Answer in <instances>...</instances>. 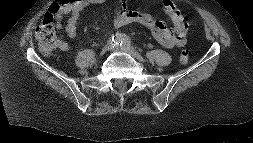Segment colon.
<instances>
[{"label": "colon", "mask_w": 253, "mask_h": 143, "mask_svg": "<svg viewBox=\"0 0 253 143\" xmlns=\"http://www.w3.org/2000/svg\"><path fill=\"white\" fill-rule=\"evenodd\" d=\"M175 15H178V9L171 8ZM58 10V5L55 4L53 8L45 14L40 25L36 29L35 39L40 51L45 55H50L58 44V39L55 32L54 14ZM188 29V23L186 21H180L177 30L181 33H186ZM179 60L182 64H186L189 61V51L184 49L180 53Z\"/></svg>", "instance_id": "5ec220e1"}]
</instances>
